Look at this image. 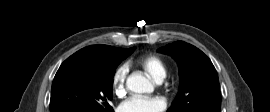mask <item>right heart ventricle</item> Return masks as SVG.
<instances>
[{
  "label": "right heart ventricle",
  "instance_id": "obj_1",
  "mask_svg": "<svg viewBox=\"0 0 270 112\" xmlns=\"http://www.w3.org/2000/svg\"><path fill=\"white\" fill-rule=\"evenodd\" d=\"M137 65L155 81L163 80L166 76V65L163 59L156 54H149L137 60Z\"/></svg>",
  "mask_w": 270,
  "mask_h": 112
}]
</instances>
